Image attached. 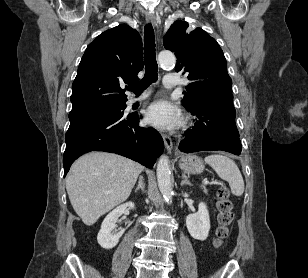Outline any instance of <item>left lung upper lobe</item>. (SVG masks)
Wrapping results in <instances>:
<instances>
[{"mask_svg":"<svg viewBox=\"0 0 308 278\" xmlns=\"http://www.w3.org/2000/svg\"><path fill=\"white\" fill-rule=\"evenodd\" d=\"M164 47L175 52L176 71L188 74L191 83L184 92L182 104L188 110L204 100L232 93V80L219 44L201 28L189 30L187 22L175 21L164 36Z\"/></svg>","mask_w":308,"mask_h":278,"instance_id":"1","label":"left lung upper lobe"}]
</instances>
